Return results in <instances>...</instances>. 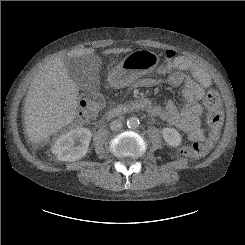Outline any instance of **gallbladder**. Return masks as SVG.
<instances>
[{
	"label": "gallbladder",
	"mask_w": 245,
	"mask_h": 245,
	"mask_svg": "<svg viewBox=\"0 0 245 245\" xmlns=\"http://www.w3.org/2000/svg\"><path fill=\"white\" fill-rule=\"evenodd\" d=\"M66 67L70 77L80 89L88 90L99 84L98 74L87 64L86 57L68 58Z\"/></svg>",
	"instance_id": "obj_1"
}]
</instances>
